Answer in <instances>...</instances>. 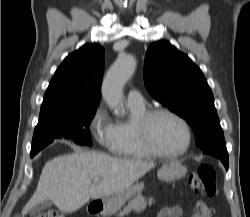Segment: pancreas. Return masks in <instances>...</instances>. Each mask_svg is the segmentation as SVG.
Returning a JSON list of instances; mask_svg holds the SVG:
<instances>
[{
    "label": "pancreas",
    "instance_id": "pancreas-1",
    "mask_svg": "<svg viewBox=\"0 0 250 217\" xmlns=\"http://www.w3.org/2000/svg\"><path fill=\"white\" fill-rule=\"evenodd\" d=\"M154 202L153 198H149L148 200L139 193L135 196L124 208L119 211L117 216H123L131 211L140 212L143 211L148 205H151Z\"/></svg>",
    "mask_w": 250,
    "mask_h": 217
}]
</instances>
